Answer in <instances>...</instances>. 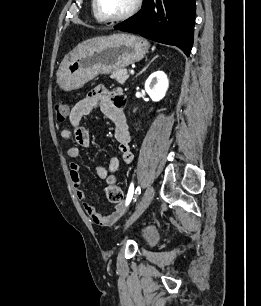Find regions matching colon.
Instances as JSON below:
<instances>
[{
  "label": "colon",
  "instance_id": "colon-1",
  "mask_svg": "<svg viewBox=\"0 0 261 306\" xmlns=\"http://www.w3.org/2000/svg\"><path fill=\"white\" fill-rule=\"evenodd\" d=\"M55 112L58 121H64L68 115L69 107L67 103L60 101L55 105ZM106 195L110 202L121 203L123 201V192L119 186L115 184L113 176L109 177V184L106 188Z\"/></svg>",
  "mask_w": 261,
  "mask_h": 306
}]
</instances>
